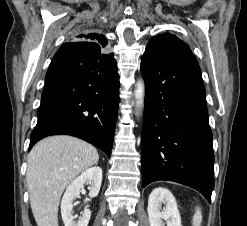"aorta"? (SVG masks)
Segmentation results:
<instances>
[{
    "label": "aorta",
    "instance_id": "aorta-1",
    "mask_svg": "<svg viewBox=\"0 0 247 226\" xmlns=\"http://www.w3.org/2000/svg\"><path fill=\"white\" fill-rule=\"evenodd\" d=\"M134 96L136 99L137 107L141 108L143 106L145 96V83L143 80H140L136 83L134 89Z\"/></svg>",
    "mask_w": 247,
    "mask_h": 226
}]
</instances>
